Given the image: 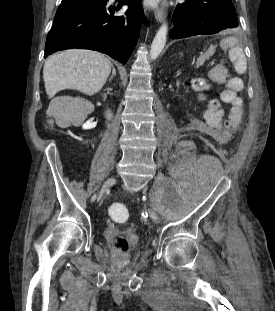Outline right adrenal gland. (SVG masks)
Segmentation results:
<instances>
[{"label":"right adrenal gland","instance_id":"obj_1","mask_svg":"<svg viewBox=\"0 0 275 311\" xmlns=\"http://www.w3.org/2000/svg\"><path fill=\"white\" fill-rule=\"evenodd\" d=\"M115 75H116V69H115L114 65L112 64V74L109 78V81H111Z\"/></svg>","mask_w":275,"mask_h":311}]
</instances>
